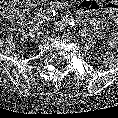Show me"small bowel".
<instances>
[{
	"mask_svg": "<svg viewBox=\"0 0 118 118\" xmlns=\"http://www.w3.org/2000/svg\"><path fill=\"white\" fill-rule=\"evenodd\" d=\"M28 1H30V0H28ZM53 2H54V5L58 6V7L67 6L68 5L66 2H62V1H58V0H55ZM93 5H94V3H92V2L89 3V6H93ZM88 9H90V8H88ZM105 9H106L105 12L108 15L112 16L113 13H118V3L116 1H114V0H112V4L108 3L107 7ZM90 12L91 11H87V15L90 16V14H92ZM24 18H25V16H21V20H24ZM112 18L115 20L116 24L118 25V14H115Z\"/></svg>",
	"mask_w": 118,
	"mask_h": 118,
	"instance_id": "obj_1",
	"label": "small bowel"
}]
</instances>
